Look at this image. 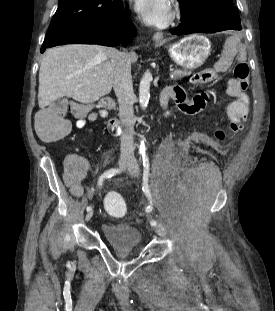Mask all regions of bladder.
Here are the masks:
<instances>
[{
  "label": "bladder",
  "instance_id": "31cf9c89",
  "mask_svg": "<svg viewBox=\"0 0 275 311\" xmlns=\"http://www.w3.org/2000/svg\"><path fill=\"white\" fill-rule=\"evenodd\" d=\"M101 232L110 246L117 249H132L141 241L140 231L128 222H105Z\"/></svg>",
  "mask_w": 275,
  "mask_h": 311
}]
</instances>
